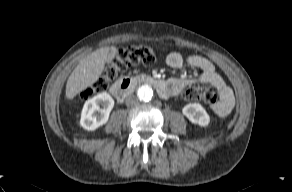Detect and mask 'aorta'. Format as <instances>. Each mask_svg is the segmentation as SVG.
<instances>
[{"label":"aorta","mask_w":292,"mask_h":192,"mask_svg":"<svg viewBox=\"0 0 292 192\" xmlns=\"http://www.w3.org/2000/svg\"><path fill=\"white\" fill-rule=\"evenodd\" d=\"M138 98L143 102H149L153 96V90L151 86L145 84L138 88L137 90Z\"/></svg>","instance_id":"1"}]
</instances>
